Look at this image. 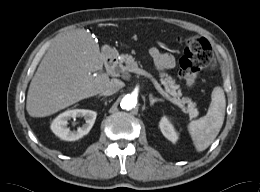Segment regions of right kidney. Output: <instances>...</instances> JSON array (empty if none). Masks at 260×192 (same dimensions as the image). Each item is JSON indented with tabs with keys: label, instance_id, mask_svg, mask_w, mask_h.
I'll list each match as a JSON object with an SVG mask.
<instances>
[{
	"label": "right kidney",
	"instance_id": "right-kidney-1",
	"mask_svg": "<svg viewBox=\"0 0 260 192\" xmlns=\"http://www.w3.org/2000/svg\"><path fill=\"white\" fill-rule=\"evenodd\" d=\"M96 116L97 113L92 110H68L60 114L53 120L51 124V129L55 135L62 138L63 140L75 141L82 138L91 130L95 122ZM77 117L84 118L85 123L82 125V127H79L77 130L71 131L70 128L67 127L68 121L70 119H76Z\"/></svg>",
	"mask_w": 260,
	"mask_h": 192
}]
</instances>
